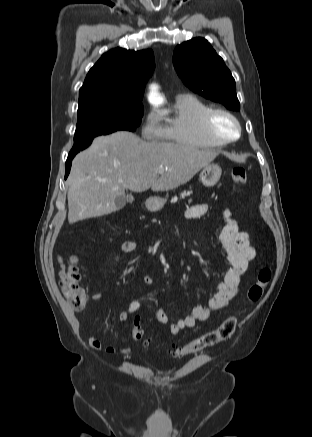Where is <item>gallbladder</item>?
Returning <instances> with one entry per match:
<instances>
[{"mask_svg": "<svg viewBox=\"0 0 312 437\" xmlns=\"http://www.w3.org/2000/svg\"><path fill=\"white\" fill-rule=\"evenodd\" d=\"M133 200H134V198H133L132 195H129L127 197V202L131 203ZM125 203H126V199L124 197H118L116 199V207H117V209H121L122 207H124Z\"/></svg>", "mask_w": 312, "mask_h": 437, "instance_id": "obj_1", "label": "gallbladder"}]
</instances>
